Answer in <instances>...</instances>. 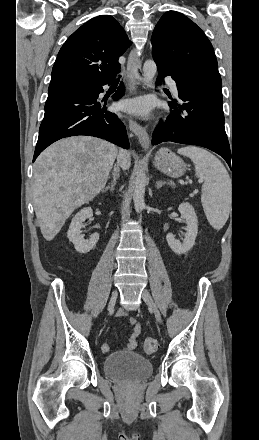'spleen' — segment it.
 Returning <instances> with one entry per match:
<instances>
[{
    "label": "spleen",
    "instance_id": "3e777b00",
    "mask_svg": "<svg viewBox=\"0 0 259 440\" xmlns=\"http://www.w3.org/2000/svg\"><path fill=\"white\" fill-rule=\"evenodd\" d=\"M178 153L193 161L196 176L204 180L201 195L204 213L210 225L220 230L229 217L232 203V181L226 168L212 153L199 147H183Z\"/></svg>",
    "mask_w": 259,
    "mask_h": 440
}]
</instances>
